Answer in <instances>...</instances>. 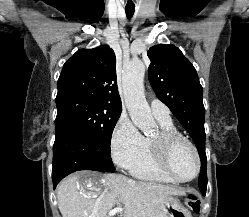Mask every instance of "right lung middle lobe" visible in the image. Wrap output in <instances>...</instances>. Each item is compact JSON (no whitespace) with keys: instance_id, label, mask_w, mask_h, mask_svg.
Returning <instances> with one entry per match:
<instances>
[{"instance_id":"obj_1","label":"right lung middle lobe","mask_w":249,"mask_h":217,"mask_svg":"<svg viewBox=\"0 0 249 217\" xmlns=\"http://www.w3.org/2000/svg\"><path fill=\"white\" fill-rule=\"evenodd\" d=\"M56 105L55 124H69L110 152L112 132L122 107L79 95L56 97Z\"/></svg>"}]
</instances>
